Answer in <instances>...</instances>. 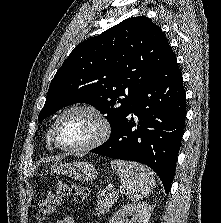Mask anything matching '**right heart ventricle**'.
Returning a JSON list of instances; mask_svg holds the SVG:
<instances>
[{
    "label": "right heart ventricle",
    "instance_id": "right-heart-ventricle-1",
    "mask_svg": "<svg viewBox=\"0 0 221 223\" xmlns=\"http://www.w3.org/2000/svg\"><path fill=\"white\" fill-rule=\"evenodd\" d=\"M50 132H51V131H49L48 134H47V144H48V145H50V143H51V142H50V141H51V139H50Z\"/></svg>",
    "mask_w": 221,
    "mask_h": 223
}]
</instances>
